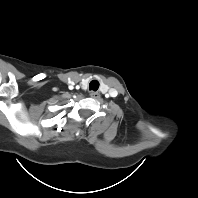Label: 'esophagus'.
I'll return each instance as SVG.
<instances>
[{
  "label": "esophagus",
  "mask_w": 198,
  "mask_h": 198,
  "mask_svg": "<svg viewBox=\"0 0 198 198\" xmlns=\"http://www.w3.org/2000/svg\"><path fill=\"white\" fill-rule=\"evenodd\" d=\"M90 96L92 98L98 99L100 97V93L99 92H95V91H91L90 92Z\"/></svg>",
  "instance_id": "1"
}]
</instances>
